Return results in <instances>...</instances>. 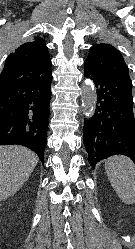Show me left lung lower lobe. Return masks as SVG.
<instances>
[{"label":"left lung lower lobe","mask_w":135,"mask_h":249,"mask_svg":"<svg viewBox=\"0 0 135 249\" xmlns=\"http://www.w3.org/2000/svg\"><path fill=\"white\" fill-rule=\"evenodd\" d=\"M84 76L92 80L97 93L94 115L83 128L90 165L95 167L113 155H125L135 162L132 83L107 77L86 65Z\"/></svg>","instance_id":"left-lung-lower-lobe-1"}]
</instances>
